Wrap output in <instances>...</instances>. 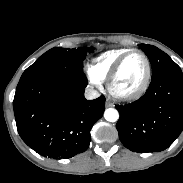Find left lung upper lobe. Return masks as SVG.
<instances>
[{
  "label": "left lung upper lobe",
  "mask_w": 183,
  "mask_h": 183,
  "mask_svg": "<svg viewBox=\"0 0 183 183\" xmlns=\"http://www.w3.org/2000/svg\"><path fill=\"white\" fill-rule=\"evenodd\" d=\"M139 47L145 52L150 60L152 66V78L170 70L180 68L165 52L159 48L148 44H139Z\"/></svg>",
  "instance_id": "obj_1"
}]
</instances>
